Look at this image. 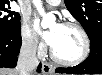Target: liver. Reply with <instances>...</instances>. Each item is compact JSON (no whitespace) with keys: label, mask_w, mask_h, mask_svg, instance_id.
Masks as SVG:
<instances>
[{"label":"liver","mask_w":102,"mask_h":75,"mask_svg":"<svg viewBox=\"0 0 102 75\" xmlns=\"http://www.w3.org/2000/svg\"><path fill=\"white\" fill-rule=\"evenodd\" d=\"M0 75H20L17 69H1Z\"/></svg>","instance_id":"liver-1"}]
</instances>
